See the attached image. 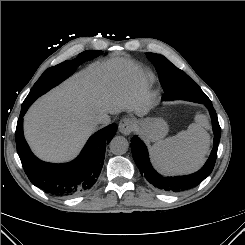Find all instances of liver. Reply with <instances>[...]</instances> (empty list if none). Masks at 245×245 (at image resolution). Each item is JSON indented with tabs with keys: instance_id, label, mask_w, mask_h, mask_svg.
Here are the masks:
<instances>
[{
	"instance_id": "obj_1",
	"label": "liver",
	"mask_w": 245,
	"mask_h": 245,
	"mask_svg": "<svg viewBox=\"0 0 245 245\" xmlns=\"http://www.w3.org/2000/svg\"><path fill=\"white\" fill-rule=\"evenodd\" d=\"M139 70L116 57L96 63L38 99L24 117V134L41 159H73L96 130L95 120L108 114L133 111L144 115L145 90Z\"/></svg>"
}]
</instances>
